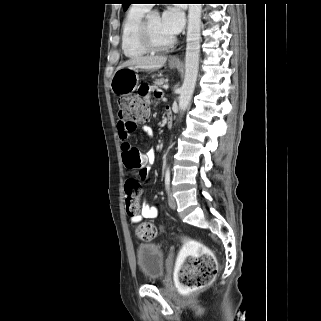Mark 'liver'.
I'll list each match as a JSON object with an SVG mask.
<instances>
[{
  "instance_id": "6515ba94",
  "label": "liver",
  "mask_w": 321,
  "mask_h": 321,
  "mask_svg": "<svg viewBox=\"0 0 321 321\" xmlns=\"http://www.w3.org/2000/svg\"><path fill=\"white\" fill-rule=\"evenodd\" d=\"M167 61L166 56H140L125 61L117 69L130 67L135 69H143L148 71H156L162 68Z\"/></svg>"
}]
</instances>
